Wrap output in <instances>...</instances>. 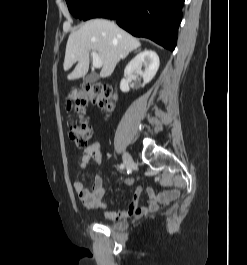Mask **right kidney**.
<instances>
[{
  "label": "right kidney",
  "instance_id": "1",
  "mask_svg": "<svg viewBox=\"0 0 247 265\" xmlns=\"http://www.w3.org/2000/svg\"><path fill=\"white\" fill-rule=\"evenodd\" d=\"M159 57L155 51L144 50L143 52L136 55L126 66L124 75H131L137 73L140 75L144 83H149L156 75L159 68ZM144 67V71H142ZM130 79L123 78L120 83V89L122 92H128L130 90L129 83Z\"/></svg>",
  "mask_w": 247,
  "mask_h": 265
}]
</instances>
